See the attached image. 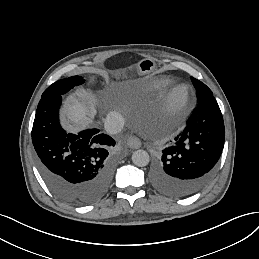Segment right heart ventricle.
<instances>
[{
  "label": "right heart ventricle",
  "mask_w": 259,
  "mask_h": 259,
  "mask_svg": "<svg viewBox=\"0 0 259 259\" xmlns=\"http://www.w3.org/2000/svg\"><path fill=\"white\" fill-rule=\"evenodd\" d=\"M143 87L144 85L141 81L135 80L131 85L123 88L121 96L130 104H135L138 101L139 93Z\"/></svg>",
  "instance_id": "right-heart-ventricle-1"
}]
</instances>
